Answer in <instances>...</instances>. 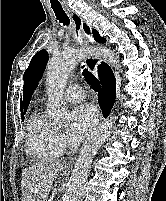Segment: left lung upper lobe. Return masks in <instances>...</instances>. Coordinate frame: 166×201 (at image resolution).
I'll use <instances>...</instances> for the list:
<instances>
[{"instance_id": "1", "label": "left lung upper lobe", "mask_w": 166, "mask_h": 201, "mask_svg": "<svg viewBox=\"0 0 166 201\" xmlns=\"http://www.w3.org/2000/svg\"><path fill=\"white\" fill-rule=\"evenodd\" d=\"M93 34L95 41L99 43L106 42V39L101 37L95 29L93 30ZM47 60H48V53L45 50L37 52L32 58L29 67L24 73L23 98H24L25 112L31 100L33 90L37 86V81L45 70Z\"/></svg>"}]
</instances>
